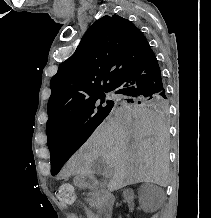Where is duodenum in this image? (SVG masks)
<instances>
[{
	"label": "duodenum",
	"instance_id": "obj_1",
	"mask_svg": "<svg viewBox=\"0 0 211 218\" xmlns=\"http://www.w3.org/2000/svg\"><path fill=\"white\" fill-rule=\"evenodd\" d=\"M81 181L84 186L88 188H98L100 187L99 180L91 173L84 172L81 175ZM115 198L112 194L104 192L102 196V201L100 205L101 218H111L114 206Z\"/></svg>",
	"mask_w": 211,
	"mask_h": 218
}]
</instances>
